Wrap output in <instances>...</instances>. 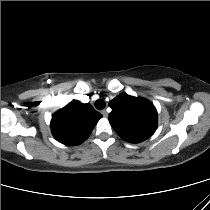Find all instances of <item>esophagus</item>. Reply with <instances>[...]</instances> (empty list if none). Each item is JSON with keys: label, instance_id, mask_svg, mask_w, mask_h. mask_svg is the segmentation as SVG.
Masks as SVG:
<instances>
[{"label": "esophagus", "instance_id": "34e87169", "mask_svg": "<svg viewBox=\"0 0 210 210\" xmlns=\"http://www.w3.org/2000/svg\"><path fill=\"white\" fill-rule=\"evenodd\" d=\"M101 114L103 115V117H107L108 116V113L106 110H102L101 111Z\"/></svg>", "mask_w": 210, "mask_h": 210}]
</instances>
